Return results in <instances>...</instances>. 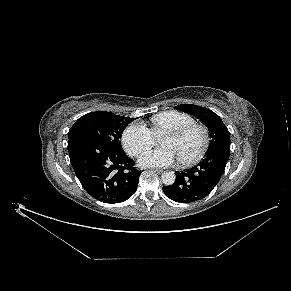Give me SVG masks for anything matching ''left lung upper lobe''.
<instances>
[{
  "mask_svg": "<svg viewBox=\"0 0 291 291\" xmlns=\"http://www.w3.org/2000/svg\"><path fill=\"white\" fill-rule=\"evenodd\" d=\"M175 108L196 116L208 127L211 141L207 152L221 145H230L229 131L216 113L210 109L193 104H182L175 106Z\"/></svg>",
  "mask_w": 291,
  "mask_h": 291,
  "instance_id": "obj_1",
  "label": "left lung upper lobe"
}]
</instances>
